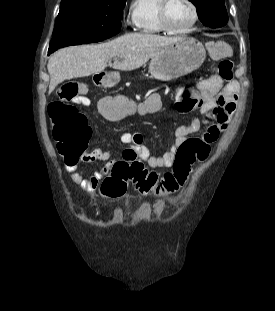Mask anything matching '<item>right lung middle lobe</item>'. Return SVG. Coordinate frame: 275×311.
<instances>
[{
    "label": "right lung middle lobe",
    "instance_id": "obj_1",
    "mask_svg": "<svg viewBox=\"0 0 275 311\" xmlns=\"http://www.w3.org/2000/svg\"><path fill=\"white\" fill-rule=\"evenodd\" d=\"M126 0H61L48 55L70 45L105 40L119 32ZM117 33H114L117 34Z\"/></svg>",
    "mask_w": 275,
    "mask_h": 311
}]
</instances>
